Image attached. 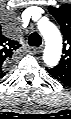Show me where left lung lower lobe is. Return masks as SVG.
I'll return each instance as SVG.
<instances>
[{
    "label": "left lung lower lobe",
    "mask_w": 71,
    "mask_h": 119,
    "mask_svg": "<svg viewBox=\"0 0 71 119\" xmlns=\"http://www.w3.org/2000/svg\"><path fill=\"white\" fill-rule=\"evenodd\" d=\"M48 73L57 79L58 81L64 83L65 85H71V71L60 69L57 67L46 68Z\"/></svg>",
    "instance_id": "0a47b994"
}]
</instances>
